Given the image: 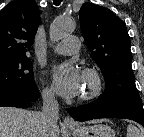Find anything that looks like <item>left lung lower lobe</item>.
Instances as JSON below:
<instances>
[{
	"instance_id": "0a47b994",
	"label": "left lung lower lobe",
	"mask_w": 144,
	"mask_h": 137,
	"mask_svg": "<svg viewBox=\"0 0 144 137\" xmlns=\"http://www.w3.org/2000/svg\"><path fill=\"white\" fill-rule=\"evenodd\" d=\"M68 111L76 121L124 118L134 120L144 127V110L140 98L105 101L99 97L90 104L73 107Z\"/></svg>"
}]
</instances>
